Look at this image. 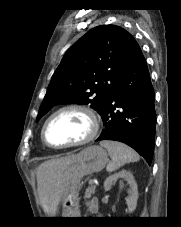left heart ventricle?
<instances>
[{
	"mask_svg": "<svg viewBox=\"0 0 181 227\" xmlns=\"http://www.w3.org/2000/svg\"><path fill=\"white\" fill-rule=\"evenodd\" d=\"M89 131L87 117L76 111H65L55 116L47 127V139L63 145L83 138Z\"/></svg>",
	"mask_w": 181,
	"mask_h": 227,
	"instance_id": "obj_1",
	"label": "left heart ventricle"
}]
</instances>
